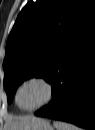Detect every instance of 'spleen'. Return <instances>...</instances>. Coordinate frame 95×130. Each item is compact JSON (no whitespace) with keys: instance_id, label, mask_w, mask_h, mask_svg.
Instances as JSON below:
<instances>
[{"instance_id":"1","label":"spleen","mask_w":95,"mask_h":130,"mask_svg":"<svg viewBox=\"0 0 95 130\" xmlns=\"http://www.w3.org/2000/svg\"><path fill=\"white\" fill-rule=\"evenodd\" d=\"M53 125L56 130H80L77 126L63 121L56 120L53 122Z\"/></svg>"}]
</instances>
